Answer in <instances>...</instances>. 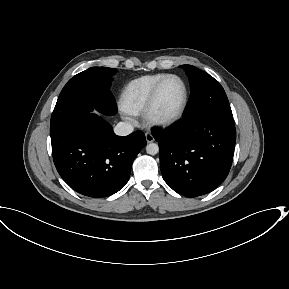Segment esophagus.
Returning <instances> with one entry per match:
<instances>
[{"label":"esophagus","mask_w":289,"mask_h":289,"mask_svg":"<svg viewBox=\"0 0 289 289\" xmlns=\"http://www.w3.org/2000/svg\"><path fill=\"white\" fill-rule=\"evenodd\" d=\"M145 138H146V141H147L148 143H151V142L154 141L153 135H152L151 133H149V132H146V133H145Z\"/></svg>","instance_id":"obj_1"}]
</instances>
